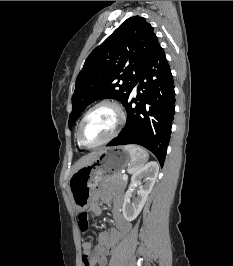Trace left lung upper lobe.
<instances>
[{
  "label": "left lung upper lobe",
  "instance_id": "left-lung-upper-lobe-1",
  "mask_svg": "<svg viewBox=\"0 0 233 266\" xmlns=\"http://www.w3.org/2000/svg\"><path fill=\"white\" fill-rule=\"evenodd\" d=\"M157 45L153 27L143 17L134 16L96 47L76 79L69 128L86 106L98 99L114 98L125 104Z\"/></svg>",
  "mask_w": 233,
  "mask_h": 266
}]
</instances>
